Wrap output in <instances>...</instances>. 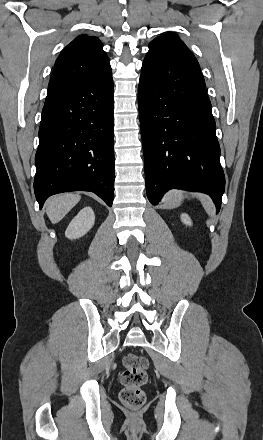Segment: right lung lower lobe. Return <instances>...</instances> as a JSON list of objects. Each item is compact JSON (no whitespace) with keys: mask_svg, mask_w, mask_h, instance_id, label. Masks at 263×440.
<instances>
[{"mask_svg":"<svg viewBox=\"0 0 263 440\" xmlns=\"http://www.w3.org/2000/svg\"><path fill=\"white\" fill-rule=\"evenodd\" d=\"M113 80L109 73L46 97L39 128L34 191L42 208L57 193L114 198Z\"/></svg>","mask_w":263,"mask_h":440,"instance_id":"right-lung-lower-lobe-1","label":"right lung lower lobe"}]
</instances>
